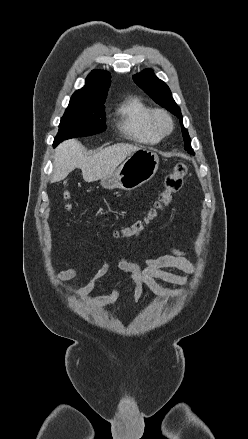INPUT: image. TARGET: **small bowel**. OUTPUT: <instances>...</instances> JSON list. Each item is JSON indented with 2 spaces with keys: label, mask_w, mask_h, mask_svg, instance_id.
<instances>
[{
  "label": "small bowel",
  "mask_w": 248,
  "mask_h": 439,
  "mask_svg": "<svg viewBox=\"0 0 248 439\" xmlns=\"http://www.w3.org/2000/svg\"><path fill=\"white\" fill-rule=\"evenodd\" d=\"M169 254L159 257H148L145 260V267L141 268L139 265L130 262L125 258H120L117 261V266L122 273V277L115 283L112 292L106 296L92 297L91 300L95 302H112L118 295V289L122 280L128 277L133 287V300H139L144 288H148L150 291L157 295L178 297L181 296L185 289V286L189 282L187 275L192 274L195 271V266L188 260L190 252H185L175 247L168 249ZM110 264L107 260H104L96 274L93 281L85 286L71 291V294L75 297H85L91 293L95 287V283L98 279L104 277L109 271ZM167 269H176L186 275H179L167 271ZM78 274V270L75 268H69L57 273V280L59 283L75 278ZM164 283L176 285L178 287H169Z\"/></svg>",
  "instance_id": "1"
}]
</instances>
